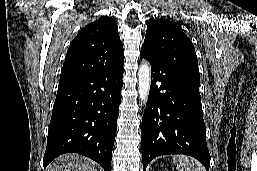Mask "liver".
Masks as SVG:
<instances>
[{
    "label": "liver",
    "mask_w": 257,
    "mask_h": 171,
    "mask_svg": "<svg viewBox=\"0 0 257 171\" xmlns=\"http://www.w3.org/2000/svg\"><path fill=\"white\" fill-rule=\"evenodd\" d=\"M46 171H96L94 163L78 154H64L55 159Z\"/></svg>",
    "instance_id": "liver-1"
}]
</instances>
